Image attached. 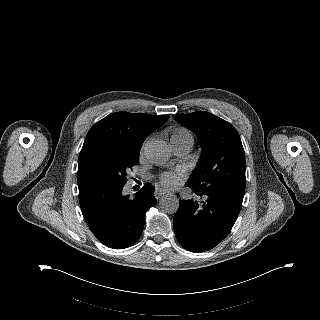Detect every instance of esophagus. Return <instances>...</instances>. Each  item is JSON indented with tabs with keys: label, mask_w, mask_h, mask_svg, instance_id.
<instances>
[{
	"label": "esophagus",
	"mask_w": 320,
	"mask_h": 320,
	"mask_svg": "<svg viewBox=\"0 0 320 320\" xmlns=\"http://www.w3.org/2000/svg\"><path fill=\"white\" fill-rule=\"evenodd\" d=\"M167 193L166 190L162 189V188H156L155 192H154V195L155 197L158 199L160 198L161 196L165 195Z\"/></svg>",
	"instance_id": "34e87169"
}]
</instances>
